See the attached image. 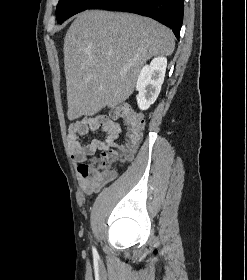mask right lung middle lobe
<instances>
[{"label": "right lung middle lobe", "instance_id": "1", "mask_svg": "<svg viewBox=\"0 0 247 280\" xmlns=\"http://www.w3.org/2000/svg\"><path fill=\"white\" fill-rule=\"evenodd\" d=\"M97 1L98 0H60L56 9L58 24H62L67 18L90 8Z\"/></svg>", "mask_w": 247, "mask_h": 280}]
</instances>
